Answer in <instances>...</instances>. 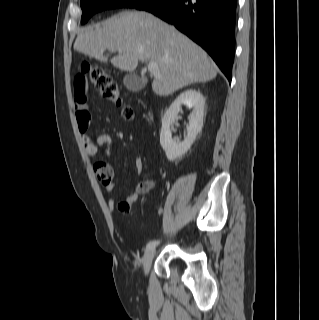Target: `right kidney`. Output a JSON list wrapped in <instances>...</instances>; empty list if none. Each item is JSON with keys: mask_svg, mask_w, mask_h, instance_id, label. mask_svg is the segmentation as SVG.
<instances>
[{"mask_svg": "<svg viewBox=\"0 0 319 320\" xmlns=\"http://www.w3.org/2000/svg\"><path fill=\"white\" fill-rule=\"evenodd\" d=\"M182 105L188 106L193 112L189 119L187 135L184 141L180 143L172 139L170 126L177 119ZM204 106L205 99L203 95L195 89H189L181 93L165 112L162 119L160 144L169 161L182 158L190 150L203 127Z\"/></svg>", "mask_w": 319, "mask_h": 320, "instance_id": "1", "label": "right kidney"}]
</instances>
